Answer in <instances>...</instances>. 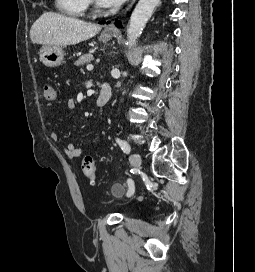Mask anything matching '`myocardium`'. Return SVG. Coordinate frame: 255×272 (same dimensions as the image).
<instances>
[{"label":"myocardium","instance_id":"f54148a6","mask_svg":"<svg viewBox=\"0 0 255 272\" xmlns=\"http://www.w3.org/2000/svg\"><path fill=\"white\" fill-rule=\"evenodd\" d=\"M87 1H88V3H90L93 6V10L95 13L101 12V9H100L98 3L96 2V0H87Z\"/></svg>","mask_w":255,"mask_h":272}]
</instances>
